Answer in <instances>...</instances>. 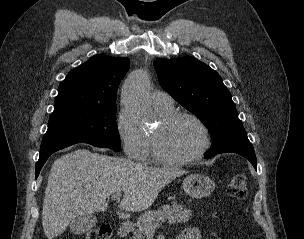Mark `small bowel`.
Segmentation results:
<instances>
[{"label":"small bowel","mask_w":304,"mask_h":239,"mask_svg":"<svg viewBox=\"0 0 304 239\" xmlns=\"http://www.w3.org/2000/svg\"><path fill=\"white\" fill-rule=\"evenodd\" d=\"M201 231L198 228L190 227L184 229L177 239H201Z\"/></svg>","instance_id":"c3829d8e"}]
</instances>
